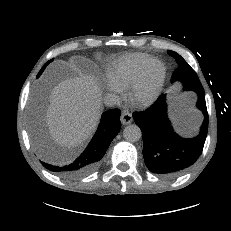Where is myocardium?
Here are the masks:
<instances>
[{"instance_id": "1", "label": "myocardium", "mask_w": 231, "mask_h": 231, "mask_svg": "<svg viewBox=\"0 0 231 231\" xmlns=\"http://www.w3.org/2000/svg\"><path fill=\"white\" fill-rule=\"evenodd\" d=\"M154 67L158 68V76H157L156 83L154 84L152 90L148 94L143 95L141 93V89L145 84L150 71ZM165 79H166L165 65L160 60L152 59L144 66V68L139 73L138 77L130 85V89L128 93L130 100L135 105L140 107H148L152 105L159 98L165 84Z\"/></svg>"}]
</instances>
